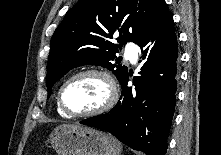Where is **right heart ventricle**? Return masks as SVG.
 Segmentation results:
<instances>
[{
  "label": "right heart ventricle",
  "mask_w": 221,
  "mask_h": 155,
  "mask_svg": "<svg viewBox=\"0 0 221 155\" xmlns=\"http://www.w3.org/2000/svg\"><path fill=\"white\" fill-rule=\"evenodd\" d=\"M57 110H58V112H59L62 116H68V115H66V114L61 110V108L59 107L58 103H57Z\"/></svg>",
  "instance_id": "1"
}]
</instances>
